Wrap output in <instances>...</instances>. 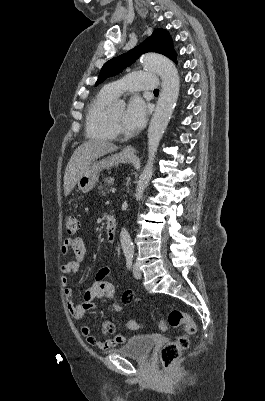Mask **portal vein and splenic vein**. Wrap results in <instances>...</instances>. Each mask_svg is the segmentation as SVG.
I'll use <instances>...</instances> for the list:
<instances>
[{
    "mask_svg": "<svg viewBox=\"0 0 265 401\" xmlns=\"http://www.w3.org/2000/svg\"><path fill=\"white\" fill-rule=\"evenodd\" d=\"M110 190H111L112 193H115V192H116V189H115L114 186H111V187H110Z\"/></svg>",
    "mask_w": 265,
    "mask_h": 401,
    "instance_id": "obj_1",
    "label": "portal vein and splenic vein"
}]
</instances>
